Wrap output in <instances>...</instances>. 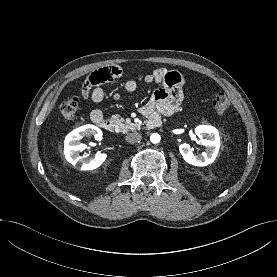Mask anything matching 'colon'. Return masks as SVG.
Listing matches in <instances>:
<instances>
[{"mask_svg":"<svg viewBox=\"0 0 277 277\" xmlns=\"http://www.w3.org/2000/svg\"><path fill=\"white\" fill-rule=\"evenodd\" d=\"M79 104V98L73 96L61 104L60 112L65 118H73L78 112ZM212 106L218 114L222 115L229 110L230 104L225 94L217 93L212 99Z\"/></svg>","mask_w":277,"mask_h":277,"instance_id":"5ec220e1","label":"colon"}]
</instances>
